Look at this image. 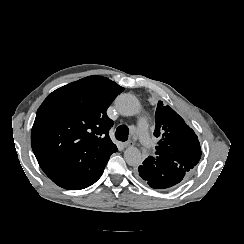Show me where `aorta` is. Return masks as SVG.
Wrapping results in <instances>:
<instances>
[{
    "label": "aorta",
    "instance_id": "aorta-1",
    "mask_svg": "<svg viewBox=\"0 0 244 244\" xmlns=\"http://www.w3.org/2000/svg\"><path fill=\"white\" fill-rule=\"evenodd\" d=\"M117 111L123 116H133L140 112L138 99L130 94H121L115 100ZM124 159L130 166H139L143 162L142 154L138 148L130 146L124 152Z\"/></svg>",
    "mask_w": 244,
    "mask_h": 244
}]
</instances>
